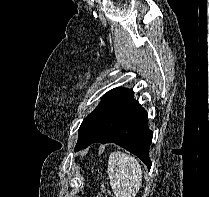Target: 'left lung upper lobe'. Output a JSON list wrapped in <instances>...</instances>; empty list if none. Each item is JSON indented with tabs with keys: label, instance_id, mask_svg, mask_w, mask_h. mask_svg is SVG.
<instances>
[{
	"label": "left lung upper lobe",
	"instance_id": "1",
	"mask_svg": "<svg viewBox=\"0 0 209 197\" xmlns=\"http://www.w3.org/2000/svg\"><path fill=\"white\" fill-rule=\"evenodd\" d=\"M127 88H115L102 96L99 105L83 120L79 128L78 140L87 131V129L96 121L99 115L117 98L123 95Z\"/></svg>",
	"mask_w": 209,
	"mask_h": 197
}]
</instances>
